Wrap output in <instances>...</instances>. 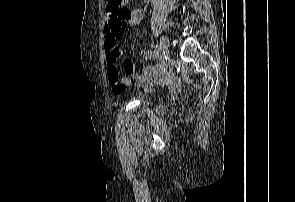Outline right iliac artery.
Returning a JSON list of instances; mask_svg holds the SVG:
<instances>
[{"instance_id":"right-iliac-artery-1","label":"right iliac artery","mask_w":295,"mask_h":202,"mask_svg":"<svg viewBox=\"0 0 295 202\" xmlns=\"http://www.w3.org/2000/svg\"><path fill=\"white\" fill-rule=\"evenodd\" d=\"M155 50H156V51H160V50H161V46L156 45V46H155Z\"/></svg>"}]
</instances>
